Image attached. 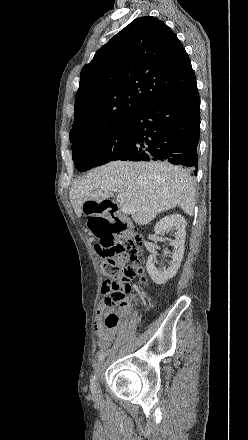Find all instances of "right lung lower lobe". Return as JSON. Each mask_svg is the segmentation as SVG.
I'll return each instance as SVG.
<instances>
[{"instance_id": "right-lung-lower-lobe-1", "label": "right lung lower lobe", "mask_w": 248, "mask_h": 440, "mask_svg": "<svg viewBox=\"0 0 248 440\" xmlns=\"http://www.w3.org/2000/svg\"><path fill=\"white\" fill-rule=\"evenodd\" d=\"M200 100L196 82L144 105L129 121V147L118 160L169 161L197 174Z\"/></svg>"}]
</instances>
